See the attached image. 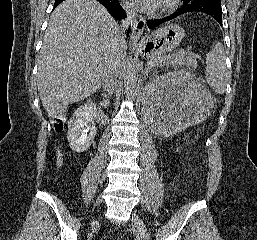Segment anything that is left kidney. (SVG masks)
I'll return each mask as SVG.
<instances>
[{"label": "left kidney", "instance_id": "left-kidney-1", "mask_svg": "<svg viewBox=\"0 0 257 240\" xmlns=\"http://www.w3.org/2000/svg\"><path fill=\"white\" fill-rule=\"evenodd\" d=\"M209 93L193 75L169 72L144 88V114L151 131L172 136L207 117Z\"/></svg>", "mask_w": 257, "mask_h": 240}]
</instances>
